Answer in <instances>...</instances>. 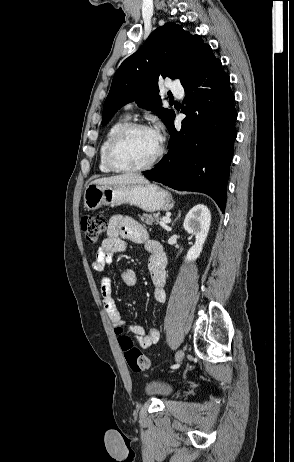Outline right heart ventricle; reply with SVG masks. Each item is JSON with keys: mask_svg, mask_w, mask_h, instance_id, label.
<instances>
[{"mask_svg": "<svg viewBox=\"0 0 294 462\" xmlns=\"http://www.w3.org/2000/svg\"><path fill=\"white\" fill-rule=\"evenodd\" d=\"M129 116L127 114H124L117 118L108 128L106 131V134L104 136V139L100 145L99 148V169L102 173L109 174L112 173L113 170L110 169L106 163L105 160V152H106V147L112 138V136L126 123H128Z\"/></svg>", "mask_w": 294, "mask_h": 462, "instance_id": "e07e8e85", "label": "right heart ventricle"}]
</instances>
